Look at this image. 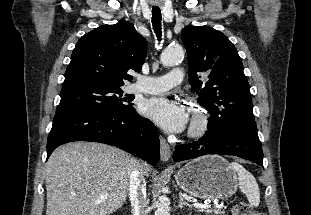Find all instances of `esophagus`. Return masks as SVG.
Listing matches in <instances>:
<instances>
[{"label":"esophagus","instance_id":"1","mask_svg":"<svg viewBox=\"0 0 311 215\" xmlns=\"http://www.w3.org/2000/svg\"><path fill=\"white\" fill-rule=\"evenodd\" d=\"M160 154L163 162H167L171 157V148L163 137H160Z\"/></svg>","mask_w":311,"mask_h":215}]
</instances>
